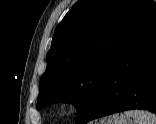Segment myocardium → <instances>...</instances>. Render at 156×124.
<instances>
[{
  "instance_id": "1",
  "label": "myocardium",
  "mask_w": 156,
  "mask_h": 124,
  "mask_svg": "<svg viewBox=\"0 0 156 124\" xmlns=\"http://www.w3.org/2000/svg\"><path fill=\"white\" fill-rule=\"evenodd\" d=\"M83 108V100L74 95L63 96L56 103V111L63 117L76 116L82 112Z\"/></svg>"
}]
</instances>
